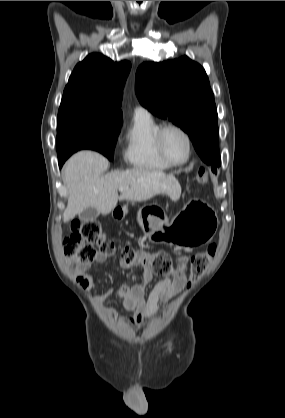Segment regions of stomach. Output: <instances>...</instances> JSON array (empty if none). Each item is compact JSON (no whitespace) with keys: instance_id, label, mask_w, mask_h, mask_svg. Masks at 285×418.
<instances>
[{"instance_id":"1","label":"stomach","mask_w":285,"mask_h":418,"mask_svg":"<svg viewBox=\"0 0 285 418\" xmlns=\"http://www.w3.org/2000/svg\"><path fill=\"white\" fill-rule=\"evenodd\" d=\"M156 217L150 207H144L139 211L137 220L145 234L152 238L164 237L167 241L184 247L210 241L217 228L214 211L197 199L188 201L164 226L162 220L158 226L154 225Z\"/></svg>"}]
</instances>
